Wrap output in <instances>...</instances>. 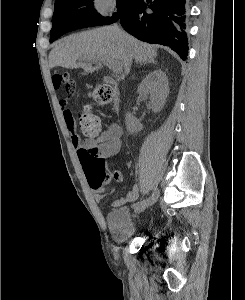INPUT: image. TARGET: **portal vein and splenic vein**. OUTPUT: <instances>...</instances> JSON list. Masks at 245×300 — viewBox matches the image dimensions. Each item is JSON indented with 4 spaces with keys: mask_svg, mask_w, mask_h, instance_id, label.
<instances>
[{
    "mask_svg": "<svg viewBox=\"0 0 245 300\" xmlns=\"http://www.w3.org/2000/svg\"><path fill=\"white\" fill-rule=\"evenodd\" d=\"M103 62L112 69L114 73H120L122 71L120 65L117 62L110 60H103Z\"/></svg>",
    "mask_w": 245,
    "mask_h": 300,
    "instance_id": "portal-vein-and-splenic-vein-1",
    "label": "portal vein and splenic vein"
}]
</instances>
